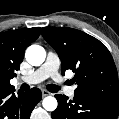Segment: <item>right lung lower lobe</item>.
<instances>
[{
  "mask_svg": "<svg viewBox=\"0 0 119 119\" xmlns=\"http://www.w3.org/2000/svg\"><path fill=\"white\" fill-rule=\"evenodd\" d=\"M41 91L33 88L23 93L14 90L0 93V119H30L34 107L41 100Z\"/></svg>",
  "mask_w": 119,
  "mask_h": 119,
  "instance_id": "1",
  "label": "right lung lower lobe"
}]
</instances>
